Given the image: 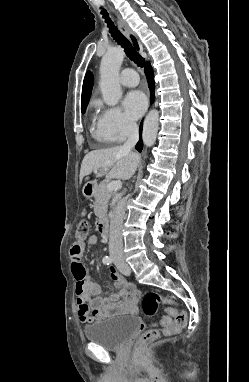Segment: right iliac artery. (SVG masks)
Wrapping results in <instances>:
<instances>
[{"label":"right iliac artery","mask_w":249,"mask_h":382,"mask_svg":"<svg viewBox=\"0 0 249 382\" xmlns=\"http://www.w3.org/2000/svg\"><path fill=\"white\" fill-rule=\"evenodd\" d=\"M103 263L106 264V265H109L110 263H112V258L108 257V256H105L103 258Z\"/></svg>","instance_id":"obj_1"}]
</instances>
